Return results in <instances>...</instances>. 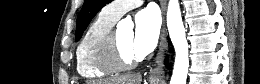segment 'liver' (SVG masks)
I'll list each match as a JSON object with an SVG mask.
<instances>
[{"label":"liver","mask_w":260,"mask_h":84,"mask_svg":"<svg viewBox=\"0 0 260 84\" xmlns=\"http://www.w3.org/2000/svg\"><path fill=\"white\" fill-rule=\"evenodd\" d=\"M141 75H124L111 79L89 81L87 84H141Z\"/></svg>","instance_id":"obj_1"}]
</instances>
